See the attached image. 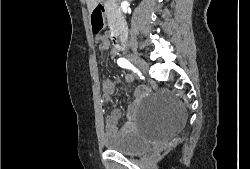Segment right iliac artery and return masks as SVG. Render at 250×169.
Wrapping results in <instances>:
<instances>
[{
    "mask_svg": "<svg viewBox=\"0 0 250 169\" xmlns=\"http://www.w3.org/2000/svg\"><path fill=\"white\" fill-rule=\"evenodd\" d=\"M117 64L122 68H127L133 70L135 73H137L141 79H144V76H142L141 72L135 68L127 59L125 58H119L117 60Z\"/></svg>",
    "mask_w": 250,
    "mask_h": 169,
    "instance_id": "obj_1",
    "label": "right iliac artery"
}]
</instances>
